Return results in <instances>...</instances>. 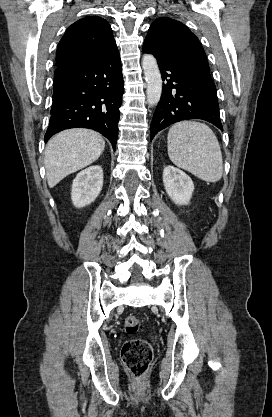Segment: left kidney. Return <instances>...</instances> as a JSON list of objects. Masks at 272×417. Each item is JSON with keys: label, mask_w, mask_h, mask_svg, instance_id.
I'll use <instances>...</instances> for the list:
<instances>
[{"label": "left kidney", "mask_w": 272, "mask_h": 417, "mask_svg": "<svg viewBox=\"0 0 272 417\" xmlns=\"http://www.w3.org/2000/svg\"><path fill=\"white\" fill-rule=\"evenodd\" d=\"M163 183L171 200L177 205H187L194 191L191 178L182 170L168 165L163 170Z\"/></svg>", "instance_id": "left-kidney-1"}]
</instances>
